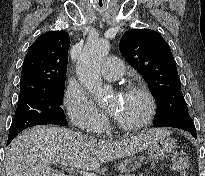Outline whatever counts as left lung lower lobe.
Here are the masks:
<instances>
[{"label": "left lung lower lobe", "mask_w": 205, "mask_h": 176, "mask_svg": "<svg viewBox=\"0 0 205 176\" xmlns=\"http://www.w3.org/2000/svg\"><path fill=\"white\" fill-rule=\"evenodd\" d=\"M154 127H175L182 130H186L192 134L196 139V128L194 122L189 114H183L177 116L169 121L163 122L159 125H154Z\"/></svg>", "instance_id": "left-lung-lower-lobe-1"}]
</instances>
